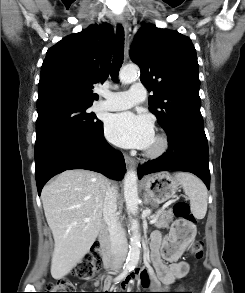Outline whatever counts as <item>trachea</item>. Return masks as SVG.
<instances>
[{
    "label": "trachea",
    "instance_id": "trachea-1",
    "mask_svg": "<svg viewBox=\"0 0 245 293\" xmlns=\"http://www.w3.org/2000/svg\"><path fill=\"white\" fill-rule=\"evenodd\" d=\"M124 59V30L121 25L117 26L116 31V41L114 48V55L111 65V77L117 82L118 81V73L123 64Z\"/></svg>",
    "mask_w": 245,
    "mask_h": 293
}]
</instances>
